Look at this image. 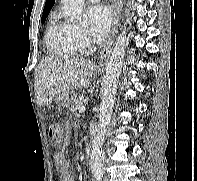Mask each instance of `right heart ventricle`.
I'll list each match as a JSON object with an SVG mask.
<instances>
[{
	"label": "right heart ventricle",
	"instance_id": "e07e8e85",
	"mask_svg": "<svg viewBox=\"0 0 197 181\" xmlns=\"http://www.w3.org/2000/svg\"><path fill=\"white\" fill-rule=\"evenodd\" d=\"M75 27L62 21L56 15L52 16L46 30V46L52 56L70 58L79 55Z\"/></svg>",
	"mask_w": 197,
	"mask_h": 181
}]
</instances>
